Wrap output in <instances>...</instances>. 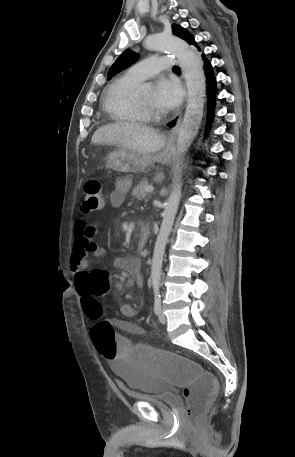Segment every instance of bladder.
<instances>
[{"label": "bladder", "instance_id": "bladder-1", "mask_svg": "<svg viewBox=\"0 0 295 457\" xmlns=\"http://www.w3.org/2000/svg\"><path fill=\"white\" fill-rule=\"evenodd\" d=\"M112 370L134 398L159 407V411L181 410V403L177 395L168 389L166 378H160L159 374H142L138 366H121L120 361L113 364Z\"/></svg>", "mask_w": 295, "mask_h": 457}]
</instances>
